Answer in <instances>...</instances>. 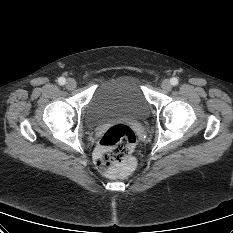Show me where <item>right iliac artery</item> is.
<instances>
[{"label": "right iliac artery", "instance_id": "obj_1", "mask_svg": "<svg viewBox=\"0 0 233 233\" xmlns=\"http://www.w3.org/2000/svg\"><path fill=\"white\" fill-rule=\"evenodd\" d=\"M58 83H59V85H64L66 83V79L64 77H60L58 79Z\"/></svg>", "mask_w": 233, "mask_h": 233}]
</instances>
